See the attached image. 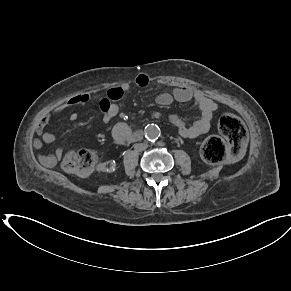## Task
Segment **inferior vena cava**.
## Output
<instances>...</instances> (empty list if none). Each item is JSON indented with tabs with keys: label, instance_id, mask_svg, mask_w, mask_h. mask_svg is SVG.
Returning a JSON list of instances; mask_svg holds the SVG:
<instances>
[{
	"label": "inferior vena cava",
	"instance_id": "602c4592",
	"mask_svg": "<svg viewBox=\"0 0 291 291\" xmlns=\"http://www.w3.org/2000/svg\"><path fill=\"white\" fill-rule=\"evenodd\" d=\"M147 146H148L147 144H136L135 148L139 151H142V150L146 149Z\"/></svg>",
	"mask_w": 291,
	"mask_h": 291
}]
</instances>
